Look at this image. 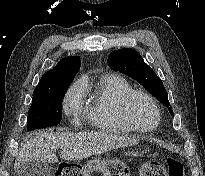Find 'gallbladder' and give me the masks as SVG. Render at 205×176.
<instances>
[{
	"instance_id": "obj_1",
	"label": "gallbladder",
	"mask_w": 205,
	"mask_h": 176,
	"mask_svg": "<svg viewBox=\"0 0 205 176\" xmlns=\"http://www.w3.org/2000/svg\"><path fill=\"white\" fill-rule=\"evenodd\" d=\"M16 176H52V168L46 162L29 161L21 164Z\"/></svg>"
}]
</instances>
